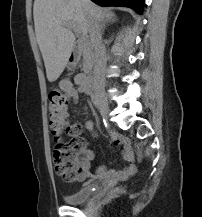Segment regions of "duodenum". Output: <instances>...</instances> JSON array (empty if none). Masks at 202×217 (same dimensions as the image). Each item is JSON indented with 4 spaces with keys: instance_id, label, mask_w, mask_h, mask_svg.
<instances>
[{
    "instance_id": "410a0bca",
    "label": "duodenum",
    "mask_w": 202,
    "mask_h": 217,
    "mask_svg": "<svg viewBox=\"0 0 202 217\" xmlns=\"http://www.w3.org/2000/svg\"><path fill=\"white\" fill-rule=\"evenodd\" d=\"M81 56H82V52L77 47H74L70 54V62L76 63L81 58ZM81 83L85 92H90L91 85H92L90 79H88L83 75L81 79Z\"/></svg>"
}]
</instances>
